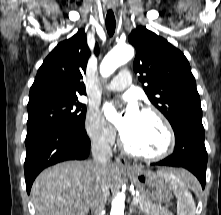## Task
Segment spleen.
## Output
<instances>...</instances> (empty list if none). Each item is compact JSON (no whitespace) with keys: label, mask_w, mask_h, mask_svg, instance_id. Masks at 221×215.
Wrapping results in <instances>:
<instances>
[{"label":"spleen","mask_w":221,"mask_h":215,"mask_svg":"<svg viewBox=\"0 0 221 215\" xmlns=\"http://www.w3.org/2000/svg\"><path fill=\"white\" fill-rule=\"evenodd\" d=\"M159 175L164 177L165 181L168 182L177 198L178 215H195V202L189 192V188L194 190L197 186L194 176L186 171H182L181 173L159 172Z\"/></svg>","instance_id":"spleen-1"}]
</instances>
